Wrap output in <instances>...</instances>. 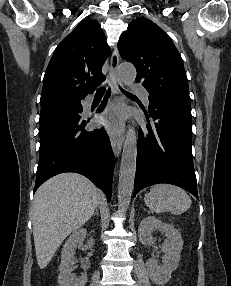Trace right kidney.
Returning a JSON list of instances; mask_svg holds the SVG:
<instances>
[{
    "label": "right kidney",
    "instance_id": "ca27d5eb",
    "mask_svg": "<svg viewBox=\"0 0 231 286\" xmlns=\"http://www.w3.org/2000/svg\"><path fill=\"white\" fill-rule=\"evenodd\" d=\"M86 235L87 231L85 229H78L74 231L66 241L62 249L61 264L59 267L60 275L58 277V283L60 286H85L87 275L83 274L77 278L71 272L76 248L83 245ZM88 244L93 246L94 240L92 238L89 239Z\"/></svg>",
    "mask_w": 231,
    "mask_h": 286
}]
</instances>
